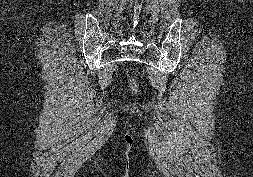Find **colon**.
Masks as SVG:
<instances>
[{
  "label": "colon",
  "mask_w": 253,
  "mask_h": 177,
  "mask_svg": "<svg viewBox=\"0 0 253 177\" xmlns=\"http://www.w3.org/2000/svg\"><path fill=\"white\" fill-rule=\"evenodd\" d=\"M129 86L133 91H136L138 88L137 81L134 78L129 79Z\"/></svg>",
  "instance_id": "5ec220e1"
}]
</instances>
